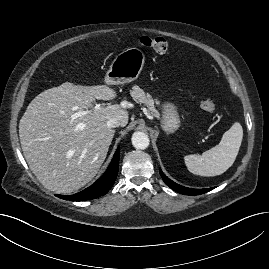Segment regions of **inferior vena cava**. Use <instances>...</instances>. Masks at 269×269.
Here are the masks:
<instances>
[{
  "label": "inferior vena cava",
  "instance_id": "obj_1",
  "mask_svg": "<svg viewBox=\"0 0 269 269\" xmlns=\"http://www.w3.org/2000/svg\"><path fill=\"white\" fill-rule=\"evenodd\" d=\"M121 125V121L118 117H112L107 121V126L109 128H116Z\"/></svg>",
  "mask_w": 269,
  "mask_h": 269
}]
</instances>
